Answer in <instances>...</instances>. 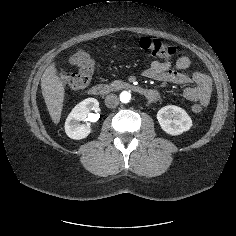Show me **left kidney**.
<instances>
[{
	"label": "left kidney",
	"instance_id": "1",
	"mask_svg": "<svg viewBox=\"0 0 236 236\" xmlns=\"http://www.w3.org/2000/svg\"><path fill=\"white\" fill-rule=\"evenodd\" d=\"M157 120L163 131L174 136L192 127V120L187 112L175 105L162 107L157 113Z\"/></svg>",
	"mask_w": 236,
	"mask_h": 236
}]
</instances>
